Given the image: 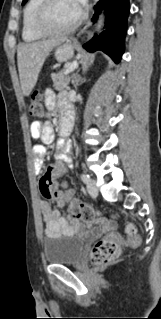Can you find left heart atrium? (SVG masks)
I'll return each instance as SVG.
<instances>
[{
	"label": "left heart atrium",
	"instance_id": "39dd6f15",
	"mask_svg": "<svg viewBox=\"0 0 161 319\" xmlns=\"http://www.w3.org/2000/svg\"><path fill=\"white\" fill-rule=\"evenodd\" d=\"M80 5L84 4L86 0H77Z\"/></svg>",
	"mask_w": 161,
	"mask_h": 319
}]
</instances>
